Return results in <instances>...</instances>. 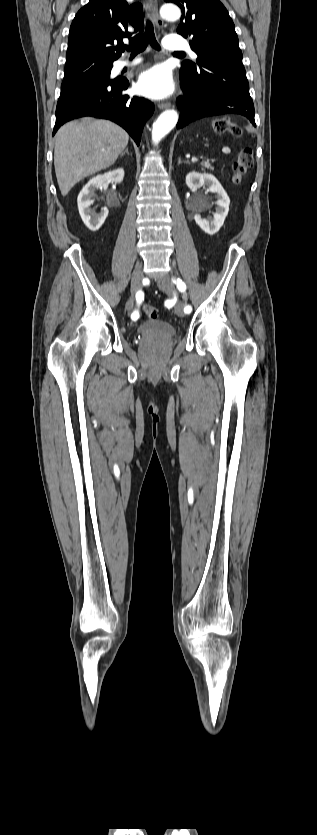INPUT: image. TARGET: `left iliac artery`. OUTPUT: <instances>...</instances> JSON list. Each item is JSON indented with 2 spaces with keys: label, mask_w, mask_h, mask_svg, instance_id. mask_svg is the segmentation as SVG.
I'll list each match as a JSON object with an SVG mask.
<instances>
[{
  "label": "left iliac artery",
  "mask_w": 317,
  "mask_h": 835,
  "mask_svg": "<svg viewBox=\"0 0 317 835\" xmlns=\"http://www.w3.org/2000/svg\"><path fill=\"white\" fill-rule=\"evenodd\" d=\"M174 282H176V285H177V288H178L179 291L184 292L186 290V285L182 280L177 279ZM191 311H192V307L190 305H186L185 308H184V312L190 313Z\"/></svg>",
  "instance_id": "1"
}]
</instances>
